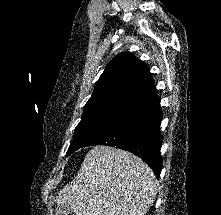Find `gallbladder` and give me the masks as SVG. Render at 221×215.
Masks as SVG:
<instances>
[{
	"mask_svg": "<svg viewBox=\"0 0 221 215\" xmlns=\"http://www.w3.org/2000/svg\"><path fill=\"white\" fill-rule=\"evenodd\" d=\"M72 213L71 205L68 203L59 204L56 209V215H70Z\"/></svg>",
	"mask_w": 221,
	"mask_h": 215,
	"instance_id": "bac80fb5",
	"label": "gallbladder"
}]
</instances>
